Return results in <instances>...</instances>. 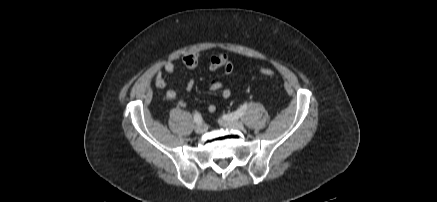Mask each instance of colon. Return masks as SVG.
<instances>
[{"instance_id":"colon-1","label":"colon","mask_w":437,"mask_h":202,"mask_svg":"<svg viewBox=\"0 0 437 202\" xmlns=\"http://www.w3.org/2000/svg\"><path fill=\"white\" fill-rule=\"evenodd\" d=\"M259 72L265 77H272L274 75V71L270 68H261Z\"/></svg>"}]
</instances>
